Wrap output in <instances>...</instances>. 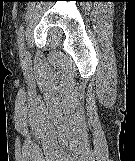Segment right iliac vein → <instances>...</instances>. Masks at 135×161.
Instances as JSON below:
<instances>
[{
    "mask_svg": "<svg viewBox=\"0 0 135 161\" xmlns=\"http://www.w3.org/2000/svg\"><path fill=\"white\" fill-rule=\"evenodd\" d=\"M20 56L23 58L24 61H28L29 60V54L26 50V47L23 45V48L20 52Z\"/></svg>",
    "mask_w": 135,
    "mask_h": 161,
    "instance_id": "obj_1",
    "label": "right iliac vein"
}]
</instances>
